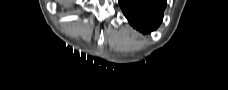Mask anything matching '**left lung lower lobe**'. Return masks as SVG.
Returning <instances> with one entry per match:
<instances>
[{
	"label": "left lung lower lobe",
	"mask_w": 228,
	"mask_h": 90,
	"mask_svg": "<svg viewBox=\"0 0 228 90\" xmlns=\"http://www.w3.org/2000/svg\"><path fill=\"white\" fill-rule=\"evenodd\" d=\"M119 4L129 23L147 33L161 23L166 0H119Z\"/></svg>",
	"instance_id": "obj_1"
}]
</instances>
